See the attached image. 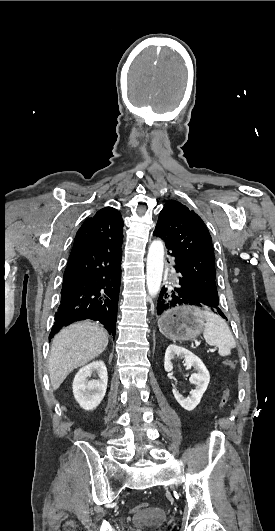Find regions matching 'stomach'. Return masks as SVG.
I'll use <instances>...</instances> for the list:
<instances>
[{
	"label": "stomach",
	"mask_w": 275,
	"mask_h": 531,
	"mask_svg": "<svg viewBox=\"0 0 275 531\" xmlns=\"http://www.w3.org/2000/svg\"><path fill=\"white\" fill-rule=\"evenodd\" d=\"M158 327L171 341H192L203 331L205 319L193 301H180L179 307L169 309L159 317Z\"/></svg>",
	"instance_id": "1"
}]
</instances>
